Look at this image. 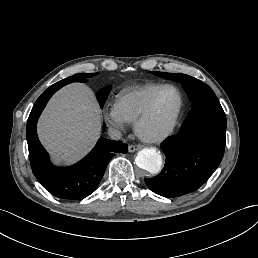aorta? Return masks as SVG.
Wrapping results in <instances>:
<instances>
[{
    "instance_id": "obj_1",
    "label": "aorta",
    "mask_w": 258,
    "mask_h": 258,
    "mask_svg": "<svg viewBox=\"0 0 258 258\" xmlns=\"http://www.w3.org/2000/svg\"><path fill=\"white\" fill-rule=\"evenodd\" d=\"M136 164L151 174L159 172L162 166V157L155 148H144L138 152Z\"/></svg>"
}]
</instances>
